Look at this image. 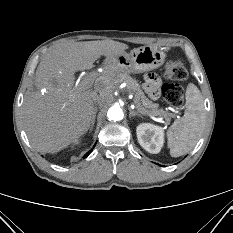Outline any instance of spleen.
<instances>
[{
  "label": "spleen",
  "instance_id": "1",
  "mask_svg": "<svg viewBox=\"0 0 233 233\" xmlns=\"http://www.w3.org/2000/svg\"><path fill=\"white\" fill-rule=\"evenodd\" d=\"M186 110L167 130L168 147L172 157L189 152L199 140L205 126L204 100L200 90L189 84L186 90Z\"/></svg>",
  "mask_w": 233,
  "mask_h": 233
}]
</instances>
